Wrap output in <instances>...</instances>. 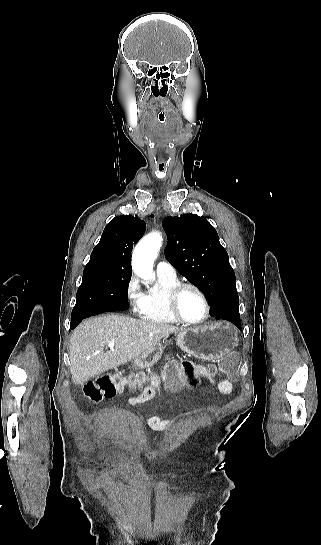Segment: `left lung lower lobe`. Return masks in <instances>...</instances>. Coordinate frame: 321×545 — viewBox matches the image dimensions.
<instances>
[{
    "label": "left lung lower lobe",
    "mask_w": 321,
    "mask_h": 545,
    "mask_svg": "<svg viewBox=\"0 0 321 545\" xmlns=\"http://www.w3.org/2000/svg\"><path fill=\"white\" fill-rule=\"evenodd\" d=\"M210 314L216 319H225L232 322L241 330L239 303H231L220 309L212 310Z\"/></svg>",
    "instance_id": "obj_1"
}]
</instances>
